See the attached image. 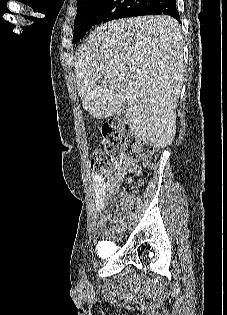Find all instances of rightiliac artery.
<instances>
[{"label":"right iliac artery","instance_id":"obj_1","mask_svg":"<svg viewBox=\"0 0 227 315\" xmlns=\"http://www.w3.org/2000/svg\"><path fill=\"white\" fill-rule=\"evenodd\" d=\"M124 220H125V217H120L117 221H118L119 223H123Z\"/></svg>","mask_w":227,"mask_h":315}]
</instances>
